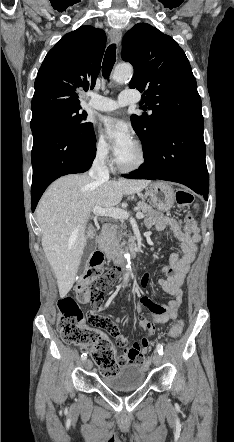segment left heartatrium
<instances>
[{"label": "left heart atrium", "mask_w": 234, "mask_h": 442, "mask_svg": "<svg viewBox=\"0 0 234 442\" xmlns=\"http://www.w3.org/2000/svg\"><path fill=\"white\" fill-rule=\"evenodd\" d=\"M104 130L113 141V149L117 158L135 145L129 124L120 118H106Z\"/></svg>", "instance_id": "left-heart-atrium-1"}]
</instances>
